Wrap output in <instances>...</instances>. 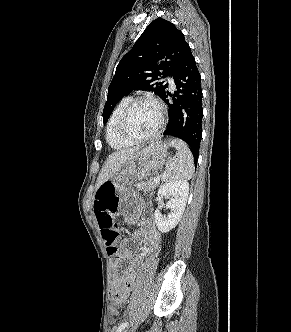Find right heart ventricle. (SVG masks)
Instances as JSON below:
<instances>
[{
    "label": "right heart ventricle",
    "instance_id": "1",
    "mask_svg": "<svg viewBox=\"0 0 291 332\" xmlns=\"http://www.w3.org/2000/svg\"><path fill=\"white\" fill-rule=\"evenodd\" d=\"M129 101H130L129 98H123L122 100L119 101V103L114 108L112 115L107 124L106 139L110 147H112L113 149L120 150L127 148L133 144L131 142L124 140L118 132L119 117L124 107L127 105Z\"/></svg>",
    "mask_w": 291,
    "mask_h": 332
}]
</instances>
